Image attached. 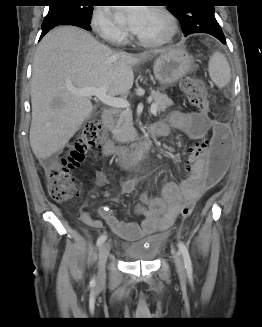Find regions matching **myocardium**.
Segmentation results:
<instances>
[{
  "instance_id": "obj_1",
  "label": "myocardium",
  "mask_w": 262,
  "mask_h": 327,
  "mask_svg": "<svg viewBox=\"0 0 262 327\" xmlns=\"http://www.w3.org/2000/svg\"><path fill=\"white\" fill-rule=\"evenodd\" d=\"M150 10L156 12L164 19V21L167 24L168 31L165 34V36L159 39H148V38L141 37L137 33H135L134 36L136 41L139 44L147 47H160L170 43L175 38L178 31V25L175 17L169 10H167L163 6H153L151 7Z\"/></svg>"
}]
</instances>
